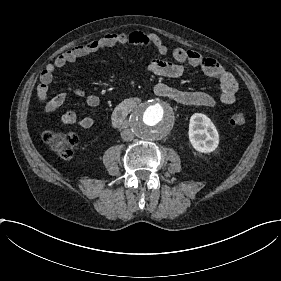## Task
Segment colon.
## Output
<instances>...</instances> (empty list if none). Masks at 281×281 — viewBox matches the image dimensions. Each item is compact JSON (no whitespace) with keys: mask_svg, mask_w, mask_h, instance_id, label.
<instances>
[{"mask_svg":"<svg viewBox=\"0 0 281 281\" xmlns=\"http://www.w3.org/2000/svg\"><path fill=\"white\" fill-rule=\"evenodd\" d=\"M230 122L235 127L244 126L246 123L245 113L242 111H234L231 114ZM43 140L56 153L64 158H71L79 143V138L76 134L62 130L46 132Z\"/></svg>","mask_w":281,"mask_h":281,"instance_id":"colon-1","label":"colon"}]
</instances>
